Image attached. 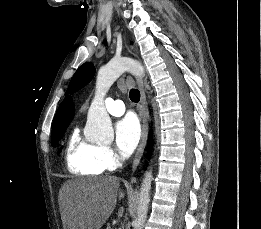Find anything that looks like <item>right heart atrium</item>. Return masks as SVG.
I'll return each instance as SVG.
<instances>
[{
  "mask_svg": "<svg viewBox=\"0 0 261 229\" xmlns=\"http://www.w3.org/2000/svg\"><path fill=\"white\" fill-rule=\"evenodd\" d=\"M98 164L102 171H116L123 164V157L111 146L101 145L98 154Z\"/></svg>",
  "mask_w": 261,
  "mask_h": 229,
  "instance_id": "obj_1",
  "label": "right heart atrium"
}]
</instances>
